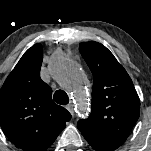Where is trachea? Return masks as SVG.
<instances>
[{
  "mask_svg": "<svg viewBox=\"0 0 151 151\" xmlns=\"http://www.w3.org/2000/svg\"><path fill=\"white\" fill-rule=\"evenodd\" d=\"M53 99L60 105H66L69 103L68 95L63 90H57L53 95Z\"/></svg>",
  "mask_w": 151,
  "mask_h": 151,
  "instance_id": "obj_1",
  "label": "trachea"
}]
</instances>
